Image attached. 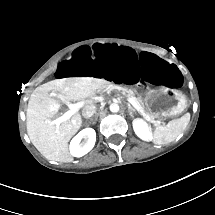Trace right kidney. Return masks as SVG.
<instances>
[{"label": "right kidney", "instance_id": "1", "mask_svg": "<svg viewBox=\"0 0 215 215\" xmlns=\"http://www.w3.org/2000/svg\"><path fill=\"white\" fill-rule=\"evenodd\" d=\"M87 136V143L82 147L79 146V143L82 137ZM96 141V132L93 128H84L77 135H75L69 144V151L73 157H82L86 155L95 145Z\"/></svg>", "mask_w": 215, "mask_h": 215}]
</instances>
